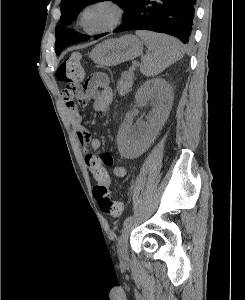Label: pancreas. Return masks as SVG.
I'll return each mask as SVG.
<instances>
[{
  "label": "pancreas",
  "instance_id": "obj_1",
  "mask_svg": "<svg viewBox=\"0 0 245 300\" xmlns=\"http://www.w3.org/2000/svg\"><path fill=\"white\" fill-rule=\"evenodd\" d=\"M134 72L133 70L124 71L118 83L117 90L121 96H124L133 84Z\"/></svg>",
  "mask_w": 245,
  "mask_h": 300
}]
</instances>
